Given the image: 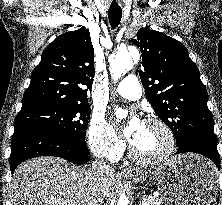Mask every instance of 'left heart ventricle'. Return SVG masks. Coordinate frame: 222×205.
I'll return each instance as SVG.
<instances>
[{"label": "left heart ventricle", "mask_w": 222, "mask_h": 205, "mask_svg": "<svg viewBox=\"0 0 222 205\" xmlns=\"http://www.w3.org/2000/svg\"><path fill=\"white\" fill-rule=\"evenodd\" d=\"M167 138L162 129L156 125L142 123L132 143L135 151L143 157H153L164 151Z\"/></svg>", "instance_id": "1"}]
</instances>
